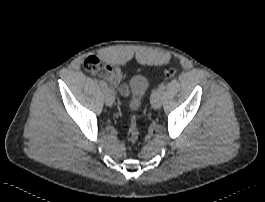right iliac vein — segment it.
<instances>
[{
    "label": "right iliac vein",
    "mask_w": 265,
    "mask_h": 202,
    "mask_svg": "<svg viewBox=\"0 0 265 202\" xmlns=\"http://www.w3.org/2000/svg\"><path fill=\"white\" fill-rule=\"evenodd\" d=\"M104 100H105V103L109 106H111L114 103L115 96L111 88H106L104 90Z\"/></svg>",
    "instance_id": "1"
}]
</instances>
